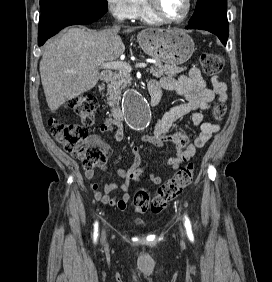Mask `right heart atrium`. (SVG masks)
I'll use <instances>...</instances> for the list:
<instances>
[{
    "instance_id": "right-heart-atrium-1",
    "label": "right heart atrium",
    "mask_w": 272,
    "mask_h": 282,
    "mask_svg": "<svg viewBox=\"0 0 272 282\" xmlns=\"http://www.w3.org/2000/svg\"><path fill=\"white\" fill-rule=\"evenodd\" d=\"M141 0H106L109 13L117 20L124 21L137 15Z\"/></svg>"
}]
</instances>
